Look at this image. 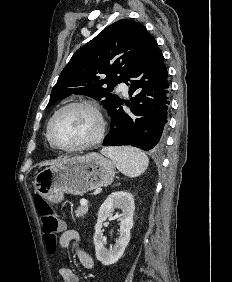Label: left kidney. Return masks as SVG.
<instances>
[{
  "instance_id": "left-kidney-1",
  "label": "left kidney",
  "mask_w": 232,
  "mask_h": 282,
  "mask_svg": "<svg viewBox=\"0 0 232 282\" xmlns=\"http://www.w3.org/2000/svg\"><path fill=\"white\" fill-rule=\"evenodd\" d=\"M119 208L121 214L116 217L120 220V235L111 249L105 248V241L102 234V224L110 216L112 210ZM135 210L134 199L127 191H116L111 193L101 205L98 212V219L95 225L94 245L96 258L104 265L116 263L123 255L129 241L130 230L133 227V214Z\"/></svg>"
}]
</instances>
